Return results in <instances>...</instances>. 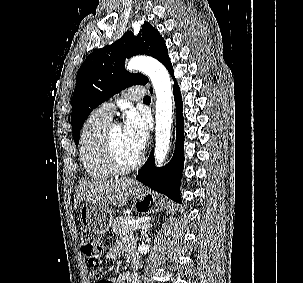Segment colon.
<instances>
[{
	"label": "colon",
	"mask_w": 303,
	"mask_h": 283,
	"mask_svg": "<svg viewBox=\"0 0 303 283\" xmlns=\"http://www.w3.org/2000/svg\"><path fill=\"white\" fill-rule=\"evenodd\" d=\"M80 249L88 263L97 266L106 252V243L97 237L84 236L80 239ZM98 283H113V281L103 278Z\"/></svg>",
	"instance_id": "colon-1"
}]
</instances>
